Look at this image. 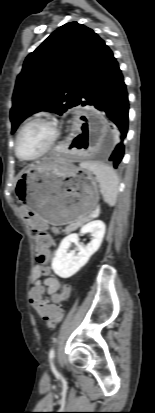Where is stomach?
<instances>
[{
    "label": "stomach",
    "mask_w": 155,
    "mask_h": 413,
    "mask_svg": "<svg viewBox=\"0 0 155 413\" xmlns=\"http://www.w3.org/2000/svg\"><path fill=\"white\" fill-rule=\"evenodd\" d=\"M15 194L35 216L60 226L87 220L98 204L99 185L86 169L46 162L20 172Z\"/></svg>",
    "instance_id": "stomach-1"
}]
</instances>
